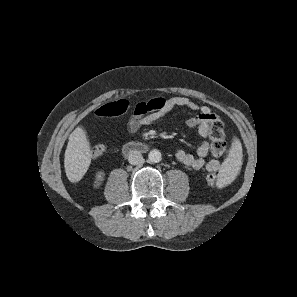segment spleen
I'll return each instance as SVG.
<instances>
[{
    "mask_svg": "<svg viewBox=\"0 0 297 297\" xmlns=\"http://www.w3.org/2000/svg\"><path fill=\"white\" fill-rule=\"evenodd\" d=\"M241 165L242 145L239 139L234 138L229 155L223 163V168L220 173V181L224 184L232 181Z\"/></svg>",
    "mask_w": 297,
    "mask_h": 297,
    "instance_id": "3e777b00",
    "label": "spleen"
}]
</instances>
